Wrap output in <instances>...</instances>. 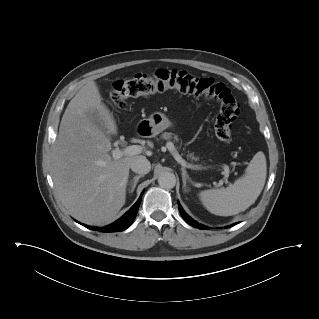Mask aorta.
I'll return each instance as SVG.
<instances>
[{"label": "aorta", "instance_id": "obj_1", "mask_svg": "<svg viewBox=\"0 0 319 319\" xmlns=\"http://www.w3.org/2000/svg\"><path fill=\"white\" fill-rule=\"evenodd\" d=\"M158 184L161 188L172 189L176 185V177L171 172H162L159 175Z\"/></svg>", "mask_w": 319, "mask_h": 319}]
</instances>
